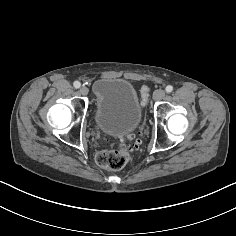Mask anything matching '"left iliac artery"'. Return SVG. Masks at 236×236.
<instances>
[{"instance_id": "1", "label": "left iliac artery", "mask_w": 236, "mask_h": 236, "mask_svg": "<svg viewBox=\"0 0 236 236\" xmlns=\"http://www.w3.org/2000/svg\"><path fill=\"white\" fill-rule=\"evenodd\" d=\"M167 93H171L173 91V87L171 85L166 86L165 88Z\"/></svg>"}]
</instances>
